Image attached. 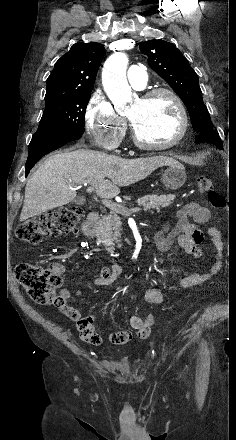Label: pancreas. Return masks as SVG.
<instances>
[{"label": "pancreas", "instance_id": "1", "mask_svg": "<svg viewBox=\"0 0 236 440\" xmlns=\"http://www.w3.org/2000/svg\"><path fill=\"white\" fill-rule=\"evenodd\" d=\"M176 198L175 195H146L137 200L138 205H142L145 210L155 209L158 212L161 208L168 207L171 205L172 201ZM124 209V206H122ZM118 214H123L117 211H111L109 215H104L98 222L97 225V237L100 242L106 247L109 252L114 251V245L117 243V247L121 248L120 244L121 237V218ZM126 215V214H123Z\"/></svg>", "mask_w": 236, "mask_h": 440}]
</instances>
